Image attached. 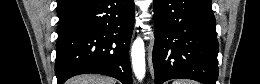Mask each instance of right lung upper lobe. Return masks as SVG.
Masks as SVG:
<instances>
[{
  "mask_svg": "<svg viewBox=\"0 0 260 84\" xmlns=\"http://www.w3.org/2000/svg\"><path fill=\"white\" fill-rule=\"evenodd\" d=\"M92 0H58L57 12L59 16V22L68 18L74 12L80 10Z\"/></svg>",
  "mask_w": 260,
  "mask_h": 84,
  "instance_id": "obj_1",
  "label": "right lung upper lobe"
}]
</instances>
